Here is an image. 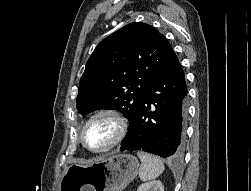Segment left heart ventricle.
I'll return each mask as SVG.
<instances>
[{
    "label": "left heart ventricle",
    "mask_w": 251,
    "mask_h": 191,
    "mask_svg": "<svg viewBox=\"0 0 251 191\" xmlns=\"http://www.w3.org/2000/svg\"><path fill=\"white\" fill-rule=\"evenodd\" d=\"M116 135V125L108 116L93 118L82 132L83 146L93 152L107 148Z\"/></svg>",
    "instance_id": "b2bd125f"
}]
</instances>
